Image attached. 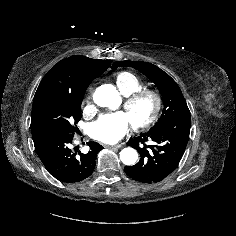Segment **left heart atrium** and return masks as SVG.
Wrapping results in <instances>:
<instances>
[{
    "mask_svg": "<svg viewBox=\"0 0 236 236\" xmlns=\"http://www.w3.org/2000/svg\"><path fill=\"white\" fill-rule=\"evenodd\" d=\"M130 120L126 113L115 112L100 117L90 126V136L98 141L113 144L128 131Z\"/></svg>",
    "mask_w": 236,
    "mask_h": 236,
    "instance_id": "39dd6f15",
    "label": "left heart atrium"
}]
</instances>
